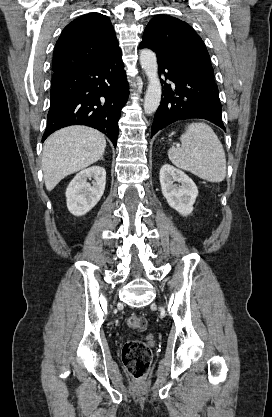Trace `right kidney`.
I'll use <instances>...</instances> for the list:
<instances>
[{"instance_id":"ca27d5eb","label":"right kidney","mask_w":272,"mask_h":417,"mask_svg":"<svg viewBox=\"0 0 272 417\" xmlns=\"http://www.w3.org/2000/svg\"><path fill=\"white\" fill-rule=\"evenodd\" d=\"M92 185L87 182L91 180ZM106 184L103 167L92 166L79 172L66 189L67 208L75 216L89 212L101 199Z\"/></svg>"}]
</instances>
